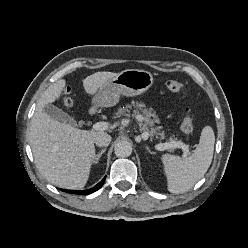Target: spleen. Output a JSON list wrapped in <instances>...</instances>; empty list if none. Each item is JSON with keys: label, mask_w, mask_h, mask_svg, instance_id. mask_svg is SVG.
I'll use <instances>...</instances> for the list:
<instances>
[{"label": "spleen", "mask_w": 248, "mask_h": 248, "mask_svg": "<svg viewBox=\"0 0 248 248\" xmlns=\"http://www.w3.org/2000/svg\"><path fill=\"white\" fill-rule=\"evenodd\" d=\"M215 135L210 126L202 129L199 144L186 158L165 154L161 160L168 191L182 194L190 190L207 172L213 158Z\"/></svg>", "instance_id": "obj_1"}]
</instances>
